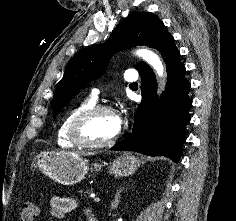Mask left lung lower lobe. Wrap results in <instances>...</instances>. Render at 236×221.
<instances>
[{"label": "left lung lower lobe", "instance_id": "0a47b994", "mask_svg": "<svg viewBox=\"0 0 236 221\" xmlns=\"http://www.w3.org/2000/svg\"><path fill=\"white\" fill-rule=\"evenodd\" d=\"M154 48L161 53L167 65L165 93L160 103H157V84L152 69L147 64L138 69L143 101L137 108L133 132L112 149L135 151L150 156L162 155L177 162L179 145L184 141V130L190 121V83L185 79V67L180 63V52L175 47L174 38L168 32L158 39ZM161 113L165 117H161ZM162 119L164 126L158 135L155 128Z\"/></svg>", "mask_w": 236, "mask_h": 221}]
</instances>
